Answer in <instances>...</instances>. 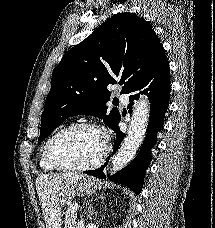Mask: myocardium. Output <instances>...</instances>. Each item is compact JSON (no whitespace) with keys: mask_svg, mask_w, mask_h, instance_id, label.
Here are the masks:
<instances>
[{"mask_svg":"<svg viewBox=\"0 0 215 228\" xmlns=\"http://www.w3.org/2000/svg\"><path fill=\"white\" fill-rule=\"evenodd\" d=\"M78 128L93 129L103 135V137L105 139V146H104V149H103L101 155L95 161H93L89 164H86V165H81V166L63 165V164L58 163L54 159V156H53V149H54L56 142L65 133H67L71 130H74V129H78ZM110 148H111V146H110L109 140L107 139V137L103 133L102 129L98 125L91 123V122H86V121L74 122V123H71V124L61 128L60 130H58L56 133H54L52 135V137L49 139V141L46 145L45 158H46L48 165L55 170L85 172V171H90V170H93V169L101 166L104 163V161L106 160V158L110 152Z\"/></svg>","mask_w":215,"mask_h":228,"instance_id":"1","label":"myocardium"}]
</instances>
